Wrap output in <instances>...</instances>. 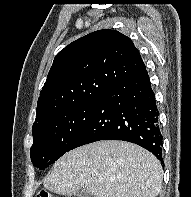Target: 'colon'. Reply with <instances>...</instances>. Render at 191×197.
I'll return each mask as SVG.
<instances>
[{"label": "colon", "instance_id": "obj_1", "mask_svg": "<svg viewBox=\"0 0 191 197\" xmlns=\"http://www.w3.org/2000/svg\"><path fill=\"white\" fill-rule=\"evenodd\" d=\"M37 197H54V196L51 195L49 192L43 190L37 194Z\"/></svg>", "mask_w": 191, "mask_h": 197}]
</instances>
